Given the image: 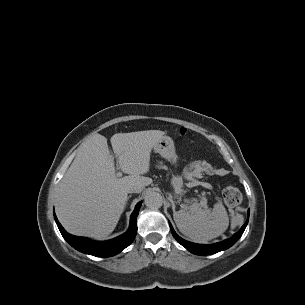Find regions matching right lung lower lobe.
I'll use <instances>...</instances> for the list:
<instances>
[{
  "label": "right lung lower lobe",
  "mask_w": 305,
  "mask_h": 305,
  "mask_svg": "<svg viewBox=\"0 0 305 305\" xmlns=\"http://www.w3.org/2000/svg\"><path fill=\"white\" fill-rule=\"evenodd\" d=\"M140 206L141 202L137 203L135 210L131 214L128 230L124 234L108 241H92L88 238L71 235L61 226L55 213L54 217L62 236L73 248L96 257H110L118 254L133 242L137 233V215Z\"/></svg>",
  "instance_id": "98d812e1"
}]
</instances>
